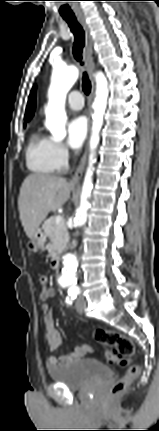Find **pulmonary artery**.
Returning a JSON list of instances; mask_svg holds the SVG:
<instances>
[{
    "instance_id": "e3ab8cb5",
    "label": "pulmonary artery",
    "mask_w": 159,
    "mask_h": 431,
    "mask_svg": "<svg viewBox=\"0 0 159 431\" xmlns=\"http://www.w3.org/2000/svg\"><path fill=\"white\" fill-rule=\"evenodd\" d=\"M67 105L72 110H81L84 106L82 94L77 90L70 92L67 96Z\"/></svg>"
}]
</instances>
